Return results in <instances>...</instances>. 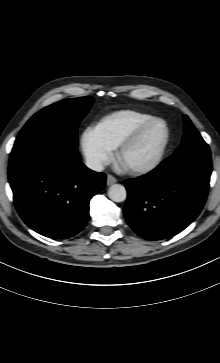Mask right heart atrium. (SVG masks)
Returning <instances> with one entry per match:
<instances>
[{"label": "right heart atrium", "mask_w": 220, "mask_h": 363, "mask_svg": "<svg viewBox=\"0 0 220 363\" xmlns=\"http://www.w3.org/2000/svg\"><path fill=\"white\" fill-rule=\"evenodd\" d=\"M80 146L87 166L93 170H101L112 160V149L101 139L93 127H88L83 131Z\"/></svg>", "instance_id": "obj_1"}]
</instances>
